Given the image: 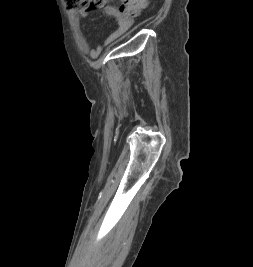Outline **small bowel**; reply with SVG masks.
<instances>
[{
	"label": "small bowel",
	"instance_id": "1",
	"mask_svg": "<svg viewBox=\"0 0 253 267\" xmlns=\"http://www.w3.org/2000/svg\"><path fill=\"white\" fill-rule=\"evenodd\" d=\"M106 12L109 16H111L112 18L116 20L117 27L106 38L103 44L97 45L94 48L90 47L87 39L82 33L79 15L75 12H70V20H71V23H72V26L75 32L77 45L83 53L88 54L92 59L97 58L102 53V51L104 50L106 46L112 44L117 39H119L121 36H123L133 24L132 17L126 16L120 13L114 7H111V6L107 7Z\"/></svg>",
	"mask_w": 253,
	"mask_h": 267
}]
</instances>
